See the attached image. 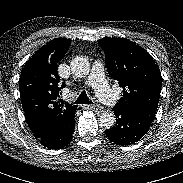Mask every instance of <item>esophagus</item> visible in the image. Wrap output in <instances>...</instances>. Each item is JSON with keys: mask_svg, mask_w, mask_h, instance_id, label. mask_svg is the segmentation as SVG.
<instances>
[{"mask_svg": "<svg viewBox=\"0 0 183 183\" xmlns=\"http://www.w3.org/2000/svg\"><path fill=\"white\" fill-rule=\"evenodd\" d=\"M85 109L93 110L96 113H100L103 111V108L97 104H86L84 105Z\"/></svg>", "mask_w": 183, "mask_h": 183, "instance_id": "1", "label": "esophagus"}]
</instances>
